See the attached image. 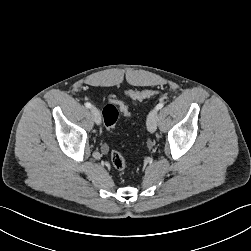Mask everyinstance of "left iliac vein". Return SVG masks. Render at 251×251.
Wrapping results in <instances>:
<instances>
[{
	"label": "left iliac vein",
	"mask_w": 251,
	"mask_h": 251,
	"mask_svg": "<svg viewBox=\"0 0 251 251\" xmlns=\"http://www.w3.org/2000/svg\"><path fill=\"white\" fill-rule=\"evenodd\" d=\"M157 121H158V112L156 109H153L150 111V113L147 116V129L149 132L153 133L157 129Z\"/></svg>",
	"instance_id": "obj_1"
}]
</instances>
